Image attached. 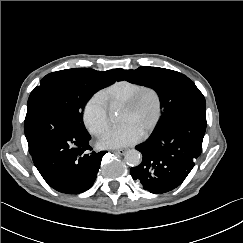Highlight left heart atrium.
Masks as SVG:
<instances>
[{"label": "left heart atrium", "instance_id": "39dd6f15", "mask_svg": "<svg viewBox=\"0 0 243 243\" xmlns=\"http://www.w3.org/2000/svg\"><path fill=\"white\" fill-rule=\"evenodd\" d=\"M143 132L131 123H125L107 130L99 139L102 148H121L141 140Z\"/></svg>", "mask_w": 243, "mask_h": 243}]
</instances>
